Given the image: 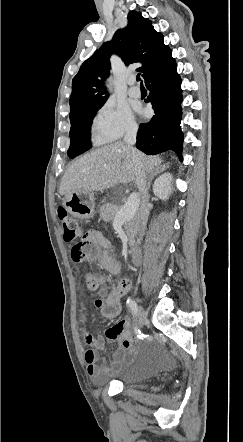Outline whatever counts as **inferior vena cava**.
I'll list each match as a JSON object with an SVG mask.
<instances>
[{
  "label": "inferior vena cava",
  "instance_id": "602c4592",
  "mask_svg": "<svg viewBox=\"0 0 243 442\" xmlns=\"http://www.w3.org/2000/svg\"><path fill=\"white\" fill-rule=\"evenodd\" d=\"M137 130H138L137 126L129 127L124 136V142L127 144L129 148L132 149V159L135 164V183L140 193V198H137L136 195L133 194L136 197L137 208L139 206V203L141 204L140 209L136 215L137 227H138L137 231L139 236L138 241L140 242L144 235L148 220V210H147L148 196H147V186H146V174L143 170V166L138 156L136 155L134 149L132 148V146L136 143Z\"/></svg>",
  "mask_w": 243,
  "mask_h": 442
}]
</instances>
